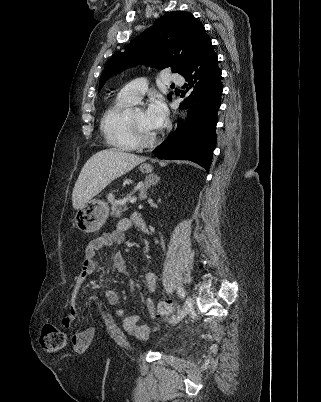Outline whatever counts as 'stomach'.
I'll use <instances>...</instances> for the list:
<instances>
[{
    "label": "stomach",
    "mask_w": 321,
    "mask_h": 402,
    "mask_svg": "<svg viewBox=\"0 0 321 402\" xmlns=\"http://www.w3.org/2000/svg\"><path fill=\"white\" fill-rule=\"evenodd\" d=\"M139 169L143 173H150L153 168L150 164L143 163ZM108 216V204L103 200L94 198L86 202L79 210H77L74 222L80 231L93 233L103 226Z\"/></svg>",
    "instance_id": "stomach-1"
}]
</instances>
